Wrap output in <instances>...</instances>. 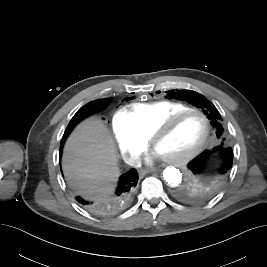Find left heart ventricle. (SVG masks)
I'll use <instances>...</instances> for the list:
<instances>
[{
    "mask_svg": "<svg viewBox=\"0 0 267 267\" xmlns=\"http://www.w3.org/2000/svg\"><path fill=\"white\" fill-rule=\"evenodd\" d=\"M204 132L202 117L196 114L188 115L157 141L155 149L165 158L185 154L199 144Z\"/></svg>",
    "mask_w": 267,
    "mask_h": 267,
    "instance_id": "obj_1",
    "label": "left heart ventricle"
}]
</instances>
